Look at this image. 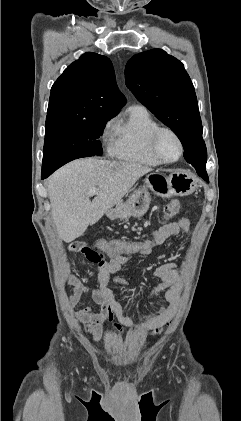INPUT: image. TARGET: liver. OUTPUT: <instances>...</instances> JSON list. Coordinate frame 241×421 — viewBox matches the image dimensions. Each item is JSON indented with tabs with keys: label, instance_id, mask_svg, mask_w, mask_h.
Wrapping results in <instances>:
<instances>
[{
	"label": "liver",
	"instance_id": "obj_1",
	"mask_svg": "<svg viewBox=\"0 0 241 421\" xmlns=\"http://www.w3.org/2000/svg\"><path fill=\"white\" fill-rule=\"evenodd\" d=\"M151 171L139 163L97 158L77 159L57 170L47 188L59 238L72 242L81 236ZM94 187L98 193L91 201L88 192Z\"/></svg>",
	"mask_w": 241,
	"mask_h": 421
}]
</instances>
